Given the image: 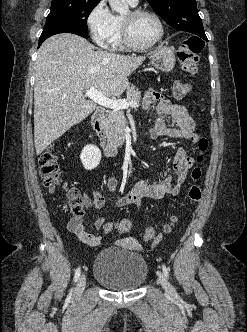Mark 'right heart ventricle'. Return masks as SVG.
I'll list each match as a JSON object with an SVG mask.
<instances>
[{
  "instance_id": "e07e8e85",
  "label": "right heart ventricle",
  "mask_w": 247,
  "mask_h": 332,
  "mask_svg": "<svg viewBox=\"0 0 247 332\" xmlns=\"http://www.w3.org/2000/svg\"><path fill=\"white\" fill-rule=\"evenodd\" d=\"M121 23L122 18L120 16H115V29L109 41V45L114 49L125 48L122 38Z\"/></svg>"
}]
</instances>
